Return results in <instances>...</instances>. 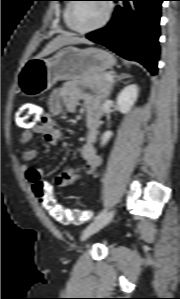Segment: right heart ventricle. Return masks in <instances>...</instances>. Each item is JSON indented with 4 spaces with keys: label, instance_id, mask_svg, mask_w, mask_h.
Masks as SVG:
<instances>
[{
    "label": "right heart ventricle",
    "instance_id": "e07e8e85",
    "mask_svg": "<svg viewBox=\"0 0 180 299\" xmlns=\"http://www.w3.org/2000/svg\"><path fill=\"white\" fill-rule=\"evenodd\" d=\"M69 2L65 5L64 9H63V20L64 23L66 25V27L70 28L69 25V10H70V6H71V0H68Z\"/></svg>",
    "mask_w": 180,
    "mask_h": 299
}]
</instances>
